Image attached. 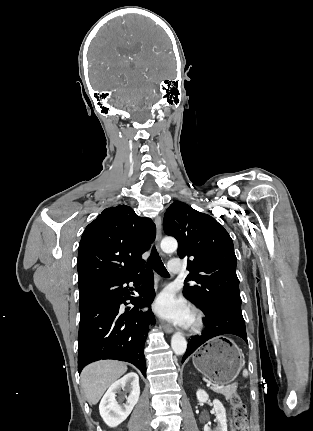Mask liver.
Segmentation results:
<instances>
[{
	"label": "liver",
	"mask_w": 313,
	"mask_h": 431,
	"mask_svg": "<svg viewBox=\"0 0 313 431\" xmlns=\"http://www.w3.org/2000/svg\"><path fill=\"white\" fill-rule=\"evenodd\" d=\"M127 371L119 361H98L86 366L81 373V383L90 405L99 402L104 392Z\"/></svg>",
	"instance_id": "1"
}]
</instances>
